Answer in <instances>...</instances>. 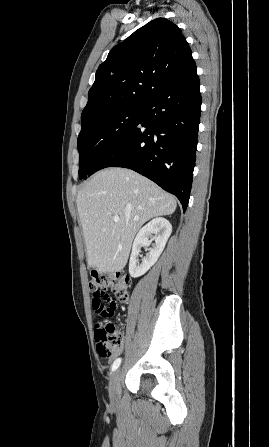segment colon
<instances>
[{
    "label": "colon",
    "mask_w": 269,
    "mask_h": 447,
    "mask_svg": "<svg viewBox=\"0 0 269 447\" xmlns=\"http://www.w3.org/2000/svg\"><path fill=\"white\" fill-rule=\"evenodd\" d=\"M131 280L123 273L105 274L92 272L87 278V290L92 295L93 308L98 323L95 325L94 338L97 350L102 357L110 356L123 342L124 330L118 328L113 320L115 311L129 300ZM108 320H101V319Z\"/></svg>",
    "instance_id": "1"
}]
</instances>
